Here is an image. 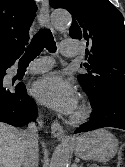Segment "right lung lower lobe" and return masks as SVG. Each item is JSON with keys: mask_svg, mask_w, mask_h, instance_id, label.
Segmentation results:
<instances>
[{"mask_svg": "<svg viewBox=\"0 0 125 167\" xmlns=\"http://www.w3.org/2000/svg\"><path fill=\"white\" fill-rule=\"evenodd\" d=\"M14 63L0 69V121L19 127L30 120H35L37 109L33 99L27 95V90L23 83L13 88L3 85V78L6 75L5 71Z\"/></svg>", "mask_w": 125, "mask_h": 167, "instance_id": "right-lung-lower-lobe-1", "label": "right lung lower lobe"}]
</instances>
